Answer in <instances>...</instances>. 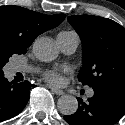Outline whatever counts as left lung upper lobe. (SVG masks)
<instances>
[{
	"mask_svg": "<svg viewBox=\"0 0 125 125\" xmlns=\"http://www.w3.org/2000/svg\"><path fill=\"white\" fill-rule=\"evenodd\" d=\"M68 21L82 40L79 81L92 88L125 87V28L111 19L92 15H73Z\"/></svg>",
	"mask_w": 125,
	"mask_h": 125,
	"instance_id": "obj_1",
	"label": "left lung upper lobe"
}]
</instances>
